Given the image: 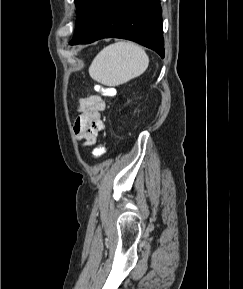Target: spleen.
<instances>
[{"mask_svg":"<svg viewBox=\"0 0 243 289\" xmlns=\"http://www.w3.org/2000/svg\"><path fill=\"white\" fill-rule=\"evenodd\" d=\"M149 57L137 44L120 41L101 50L89 67L92 79L106 86H118L143 74Z\"/></svg>","mask_w":243,"mask_h":289,"instance_id":"spleen-1","label":"spleen"}]
</instances>
